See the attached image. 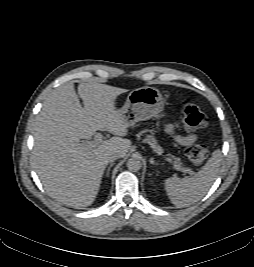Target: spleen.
Listing matches in <instances>:
<instances>
[{
    "label": "spleen",
    "instance_id": "obj_1",
    "mask_svg": "<svg viewBox=\"0 0 254 267\" xmlns=\"http://www.w3.org/2000/svg\"><path fill=\"white\" fill-rule=\"evenodd\" d=\"M221 160V151L215 150L211 158L194 176L165 179V191L171 202L177 208H184L201 200L216 180Z\"/></svg>",
    "mask_w": 254,
    "mask_h": 267
}]
</instances>
